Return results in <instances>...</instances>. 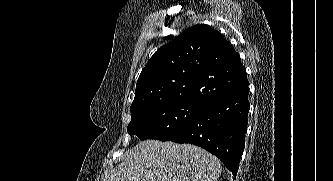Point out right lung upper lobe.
I'll return each instance as SVG.
<instances>
[{"instance_id": "1", "label": "right lung upper lobe", "mask_w": 333, "mask_h": 181, "mask_svg": "<svg viewBox=\"0 0 333 181\" xmlns=\"http://www.w3.org/2000/svg\"><path fill=\"white\" fill-rule=\"evenodd\" d=\"M248 86L232 44L197 24L157 50L142 70L130 110L174 101L204 104Z\"/></svg>"}]
</instances>
